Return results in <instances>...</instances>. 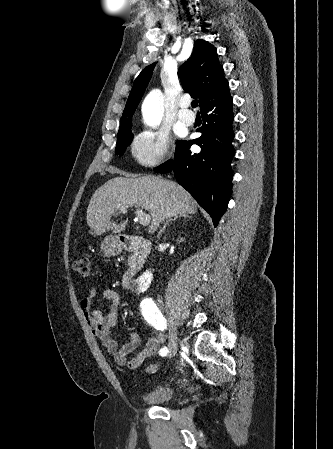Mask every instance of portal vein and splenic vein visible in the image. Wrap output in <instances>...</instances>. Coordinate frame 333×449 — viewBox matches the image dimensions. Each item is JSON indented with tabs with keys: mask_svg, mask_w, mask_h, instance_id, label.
<instances>
[{
	"mask_svg": "<svg viewBox=\"0 0 333 449\" xmlns=\"http://www.w3.org/2000/svg\"><path fill=\"white\" fill-rule=\"evenodd\" d=\"M121 211H125V207L120 209ZM136 215L139 218V222L142 226H147L150 223V216L145 214L141 209H136Z\"/></svg>",
	"mask_w": 333,
	"mask_h": 449,
	"instance_id": "18ae733b",
	"label": "portal vein and splenic vein"
}]
</instances>
